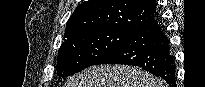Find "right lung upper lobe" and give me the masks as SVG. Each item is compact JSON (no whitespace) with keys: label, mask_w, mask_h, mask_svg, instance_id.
Listing matches in <instances>:
<instances>
[{"label":"right lung upper lobe","mask_w":205,"mask_h":87,"mask_svg":"<svg viewBox=\"0 0 205 87\" xmlns=\"http://www.w3.org/2000/svg\"><path fill=\"white\" fill-rule=\"evenodd\" d=\"M155 18V0H89L69 18L65 38L104 29L133 33Z\"/></svg>","instance_id":"right-lung-upper-lobe-1"}]
</instances>
